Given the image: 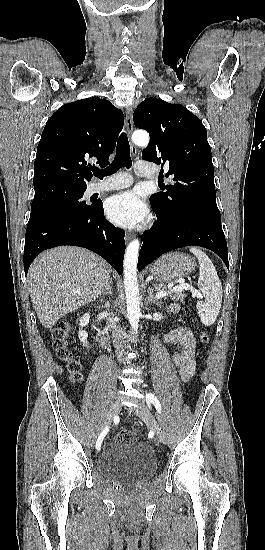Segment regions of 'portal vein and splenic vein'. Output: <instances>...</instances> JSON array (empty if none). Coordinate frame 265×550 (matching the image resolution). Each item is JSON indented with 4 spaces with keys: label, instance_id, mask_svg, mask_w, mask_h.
Wrapping results in <instances>:
<instances>
[{
    "label": "portal vein and splenic vein",
    "instance_id": "18ae733b",
    "mask_svg": "<svg viewBox=\"0 0 265 550\" xmlns=\"http://www.w3.org/2000/svg\"><path fill=\"white\" fill-rule=\"evenodd\" d=\"M190 289V286L188 284H185V283H180L179 285H176L174 288H173V291L174 292H181L183 290H189ZM169 292H165V291H160L158 293H156V298L157 299H161L165 296L168 295ZM195 295L197 297H201V294L197 291H194Z\"/></svg>",
    "mask_w": 265,
    "mask_h": 550
}]
</instances>
